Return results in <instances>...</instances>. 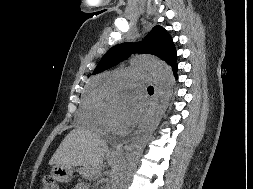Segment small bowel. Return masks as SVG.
<instances>
[{
    "mask_svg": "<svg viewBox=\"0 0 253 189\" xmlns=\"http://www.w3.org/2000/svg\"><path fill=\"white\" fill-rule=\"evenodd\" d=\"M74 189H87L85 184H77Z\"/></svg>",
    "mask_w": 253,
    "mask_h": 189,
    "instance_id": "obj_1",
    "label": "small bowel"
}]
</instances>
